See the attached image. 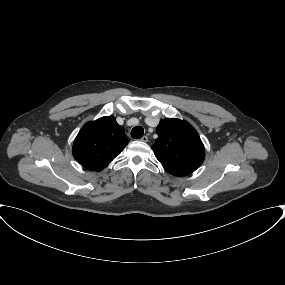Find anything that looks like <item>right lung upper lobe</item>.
<instances>
[{
    "mask_svg": "<svg viewBox=\"0 0 285 285\" xmlns=\"http://www.w3.org/2000/svg\"><path fill=\"white\" fill-rule=\"evenodd\" d=\"M128 142L115 117L107 116L88 122L81 128L72 152L85 168L101 171L124 150Z\"/></svg>",
    "mask_w": 285,
    "mask_h": 285,
    "instance_id": "obj_1",
    "label": "right lung upper lobe"
}]
</instances>
